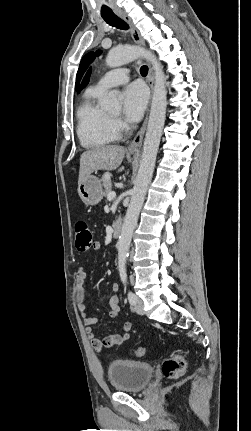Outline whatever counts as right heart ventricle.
Masks as SVG:
<instances>
[{
  "mask_svg": "<svg viewBox=\"0 0 251 431\" xmlns=\"http://www.w3.org/2000/svg\"><path fill=\"white\" fill-rule=\"evenodd\" d=\"M101 93L102 90L90 87L77 109V135L84 147H102L119 137L113 118L97 104Z\"/></svg>",
  "mask_w": 251,
  "mask_h": 431,
  "instance_id": "1",
  "label": "right heart ventricle"
}]
</instances>
